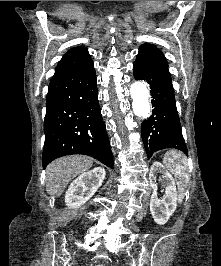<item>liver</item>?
<instances>
[{"mask_svg":"<svg viewBox=\"0 0 221 266\" xmlns=\"http://www.w3.org/2000/svg\"><path fill=\"white\" fill-rule=\"evenodd\" d=\"M92 165L93 159L82 155L56 159L46 168L47 193L59 197L72 179L90 169Z\"/></svg>","mask_w":221,"mask_h":266,"instance_id":"6515ba94","label":"liver"}]
</instances>
